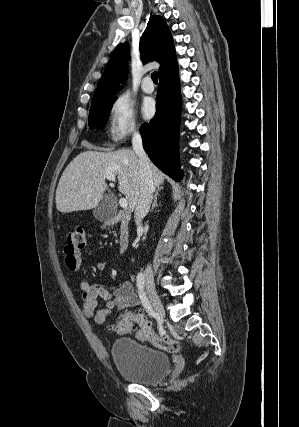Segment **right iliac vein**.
<instances>
[{
    "label": "right iliac vein",
    "mask_w": 299,
    "mask_h": 427,
    "mask_svg": "<svg viewBox=\"0 0 299 427\" xmlns=\"http://www.w3.org/2000/svg\"><path fill=\"white\" fill-rule=\"evenodd\" d=\"M146 287H147V292H148L149 298H150V300H151V302H152V304H153V306L157 312V315L160 318V320L163 321L165 318V310H164L163 304L161 302V299H160V297L156 291L153 278L148 277L146 279Z\"/></svg>",
    "instance_id": "right-iliac-vein-1"
}]
</instances>
